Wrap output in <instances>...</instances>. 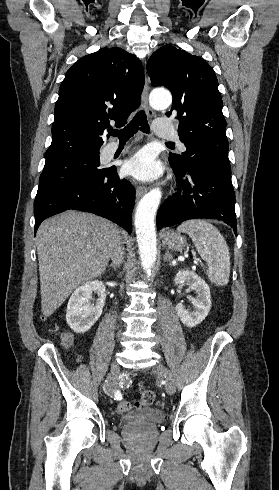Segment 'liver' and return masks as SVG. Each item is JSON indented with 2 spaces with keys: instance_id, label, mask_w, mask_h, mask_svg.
I'll use <instances>...</instances> for the list:
<instances>
[{
  "instance_id": "obj_1",
  "label": "liver",
  "mask_w": 279,
  "mask_h": 490,
  "mask_svg": "<svg viewBox=\"0 0 279 490\" xmlns=\"http://www.w3.org/2000/svg\"><path fill=\"white\" fill-rule=\"evenodd\" d=\"M127 236L109 220L75 210L44 220L36 234L43 316H52L75 288L102 276L115 240Z\"/></svg>"
}]
</instances>
